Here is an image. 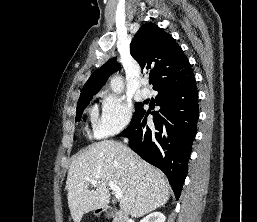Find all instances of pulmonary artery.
<instances>
[{
    "label": "pulmonary artery",
    "instance_id": "obj_1",
    "mask_svg": "<svg viewBox=\"0 0 257 222\" xmlns=\"http://www.w3.org/2000/svg\"><path fill=\"white\" fill-rule=\"evenodd\" d=\"M147 84V80L146 79H143L142 80V89H141V95L143 98H149L151 96V91L145 87Z\"/></svg>",
    "mask_w": 257,
    "mask_h": 222
}]
</instances>
